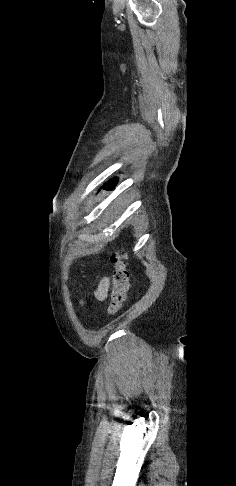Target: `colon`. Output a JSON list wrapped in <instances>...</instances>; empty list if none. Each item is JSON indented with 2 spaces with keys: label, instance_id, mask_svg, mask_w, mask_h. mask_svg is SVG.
<instances>
[{
  "label": "colon",
  "instance_id": "obj_1",
  "mask_svg": "<svg viewBox=\"0 0 236 486\" xmlns=\"http://www.w3.org/2000/svg\"><path fill=\"white\" fill-rule=\"evenodd\" d=\"M110 260L113 264V288L107 313L114 315L121 309L126 300L129 289V273L125 262L126 254L124 252L116 251L112 253Z\"/></svg>",
  "mask_w": 236,
  "mask_h": 486
}]
</instances>
